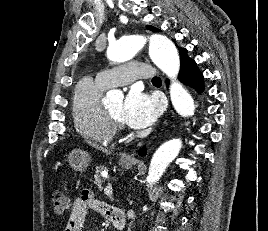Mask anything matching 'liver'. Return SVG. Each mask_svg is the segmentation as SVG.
Returning a JSON list of instances; mask_svg holds the SVG:
<instances>
[{"label":"liver","instance_id":"obj_1","mask_svg":"<svg viewBox=\"0 0 268 231\" xmlns=\"http://www.w3.org/2000/svg\"><path fill=\"white\" fill-rule=\"evenodd\" d=\"M93 146H94V147H96V148H98V146H96V145H93ZM100 150H102V151H103L104 149H103V148H100Z\"/></svg>","mask_w":268,"mask_h":231}]
</instances>
